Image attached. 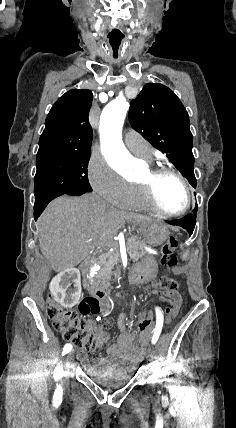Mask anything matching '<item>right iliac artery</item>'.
I'll use <instances>...</instances> for the list:
<instances>
[{
	"mask_svg": "<svg viewBox=\"0 0 236 428\" xmlns=\"http://www.w3.org/2000/svg\"><path fill=\"white\" fill-rule=\"evenodd\" d=\"M71 349H72V345L67 343L63 348L62 356L69 353L71 351ZM54 373L55 374H63L64 373L63 368H62V366H60V364H58L56 366Z\"/></svg>",
	"mask_w": 236,
	"mask_h": 428,
	"instance_id": "1",
	"label": "right iliac artery"
}]
</instances>
